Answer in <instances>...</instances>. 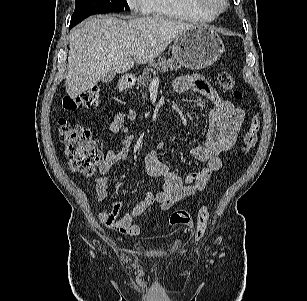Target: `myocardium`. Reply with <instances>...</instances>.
<instances>
[{
  "instance_id": "obj_1",
  "label": "myocardium",
  "mask_w": 307,
  "mask_h": 301,
  "mask_svg": "<svg viewBox=\"0 0 307 301\" xmlns=\"http://www.w3.org/2000/svg\"><path fill=\"white\" fill-rule=\"evenodd\" d=\"M192 4L200 9L209 11L215 15L224 12L229 3L228 0H189Z\"/></svg>"
}]
</instances>
